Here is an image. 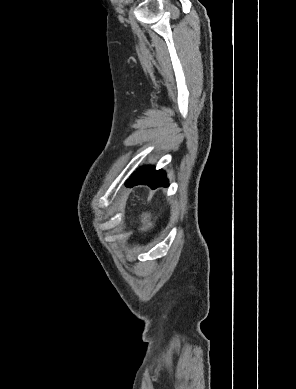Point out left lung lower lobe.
Masks as SVG:
<instances>
[{
    "instance_id": "0a47b994",
    "label": "left lung lower lobe",
    "mask_w": 296,
    "mask_h": 389,
    "mask_svg": "<svg viewBox=\"0 0 296 389\" xmlns=\"http://www.w3.org/2000/svg\"><path fill=\"white\" fill-rule=\"evenodd\" d=\"M139 184H144L155 189L160 186L167 187L168 180L163 170L156 171L153 166H148L139 169L126 183L127 187H133Z\"/></svg>"
}]
</instances>
